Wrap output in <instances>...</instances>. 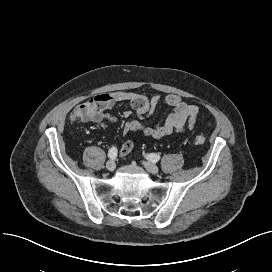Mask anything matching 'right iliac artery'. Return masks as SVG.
Here are the masks:
<instances>
[{"label": "right iliac artery", "instance_id": "1", "mask_svg": "<svg viewBox=\"0 0 272 272\" xmlns=\"http://www.w3.org/2000/svg\"><path fill=\"white\" fill-rule=\"evenodd\" d=\"M117 148L116 147H112L110 148V150L108 151V157L110 159H114L117 156Z\"/></svg>", "mask_w": 272, "mask_h": 272}]
</instances>
